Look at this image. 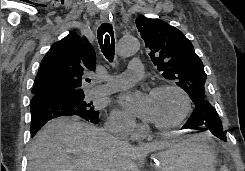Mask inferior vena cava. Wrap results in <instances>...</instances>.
I'll return each mask as SVG.
<instances>
[{"instance_id": "obj_1", "label": "inferior vena cava", "mask_w": 245, "mask_h": 171, "mask_svg": "<svg viewBox=\"0 0 245 171\" xmlns=\"http://www.w3.org/2000/svg\"><path fill=\"white\" fill-rule=\"evenodd\" d=\"M105 130H107L108 132H111V133H115L117 136V139L119 141H121L124 145L129 144L128 143V137L125 133L116 131L115 128L109 124L105 125Z\"/></svg>"}]
</instances>
